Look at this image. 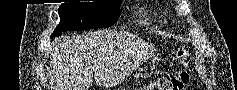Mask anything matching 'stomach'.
<instances>
[{
	"mask_svg": "<svg viewBox=\"0 0 237 90\" xmlns=\"http://www.w3.org/2000/svg\"><path fill=\"white\" fill-rule=\"evenodd\" d=\"M148 74V71L146 68L143 69V76L145 77Z\"/></svg>",
	"mask_w": 237,
	"mask_h": 90,
	"instance_id": "obj_1",
	"label": "stomach"
}]
</instances>
